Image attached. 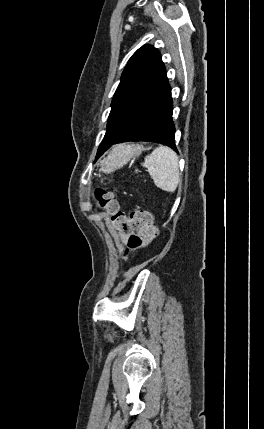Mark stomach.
<instances>
[{
  "label": "stomach",
  "instance_id": "stomach-1",
  "mask_svg": "<svg viewBox=\"0 0 264 429\" xmlns=\"http://www.w3.org/2000/svg\"><path fill=\"white\" fill-rule=\"evenodd\" d=\"M146 150L142 145L138 144H119L114 146L111 152L101 161L100 171L104 173H111L125 164H127L131 158L141 154L142 151Z\"/></svg>",
  "mask_w": 264,
  "mask_h": 429
}]
</instances>
